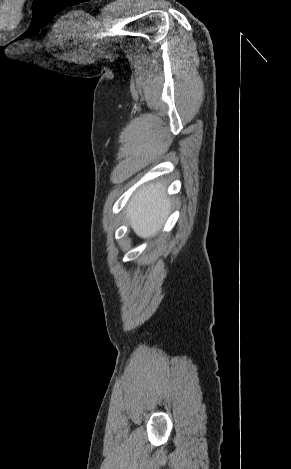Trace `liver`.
I'll return each mask as SVG.
<instances>
[{
  "label": "liver",
  "instance_id": "liver-1",
  "mask_svg": "<svg viewBox=\"0 0 291 469\" xmlns=\"http://www.w3.org/2000/svg\"><path fill=\"white\" fill-rule=\"evenodd\" d=\"M165 191L162 183H151L140 189L129 201L126 217L139 237L145 239L154 236L166 221L171 201Z\"/></svg>",
  "mask_w": 291,
  "mask_h": 469
}]
</instances>
